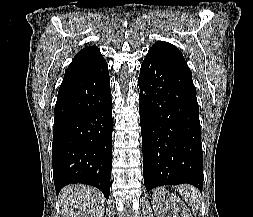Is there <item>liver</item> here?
Returning <instances> with one entry per match:
<instances>
[{
	"label": "liver",
	"mask_w": 253,
	"mask_h": 217,
	"mask_svg": "<svg viewBox=\"0 0 253 217\" xmlns=\"http://www.w3.org/2000/svg\"><path fill=\"white\" fill-rule=\"evenodd\" d=\"M59 201L66 217H103L105 198L96 188L82 184L61 190Z\"/></svg>",
	"instance_id": "liver-1"
}]
</instances>
